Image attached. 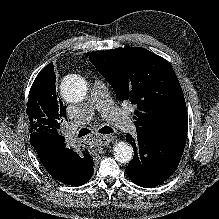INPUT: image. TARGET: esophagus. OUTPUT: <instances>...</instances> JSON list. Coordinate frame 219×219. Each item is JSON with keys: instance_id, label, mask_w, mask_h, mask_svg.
Segmentation results:
<instances>
[{"instance_id": "esophagus-1", "label": "esophagus", "mask_w": 219, "mask_h": 219, "mask_svg": "<svg viewBox=\"0 0 219 219\" xmlns=\"http://www.w3.org/2000/svg\"><path fill=\"white\" fill-rule=\"evenodd\" d=\"M113 140H114L113 135H102L98 137L97 142L100 146H105L111 143Z\"/></svg>"}]
</instances>
